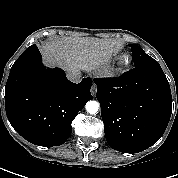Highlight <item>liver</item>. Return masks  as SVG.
<instances>
[{
  "instance_id": "6515ba94",
  "label": "liver",
  "mask_w": 178,
  "mask_h": 178,
  "mask_svg": "<svg viewBox=\"0 0 178 178\" xmlns=\"http://www.w3.org/2000/svg\"><path fill=\"white\" fill-rule=\"evenodd\" d=\"M118 46L113 40L65 37L45 42L41 52L47 64L58 65L70 73L100 67L109 60Z\"/></svg>"
}]
</instances>
